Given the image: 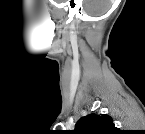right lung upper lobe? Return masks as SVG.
Returning <instances> with one entry per match:
<instances>
[{
	"mask_svg": "<svg viewBox=\"0 0 145 134\" xmlns=\"http://www.w3.org/2000/svg\"><path fill=\"white\" fill-rule=\"evenodd\" d=\"M113 119L106 114H89L78 120L74 134H116Z\"/></svg>",
	"mask_w": 145,
	"mask_h": 134,
	"instance_id": "cb5924a9",
	"label": "right lung upper lobe"
}]
</instances>
